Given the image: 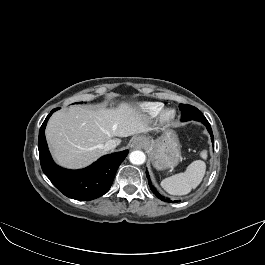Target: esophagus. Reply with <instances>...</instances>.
<instances>
[{"label": "esophagus", "instance_id": "1", "mask_svg": "<svg viewBox=\"0 0 265 265\" xmlns=\"http://www.w3.org/2000/svg\"><path fill=\"white\" fill-rule=\"evenodd\" d=\"M143 145V140L139 137H135L133 140H132V146L134 147H141Z\"/></svg>", "mask_w": 265, "mask_h": 265}]
</instances>
